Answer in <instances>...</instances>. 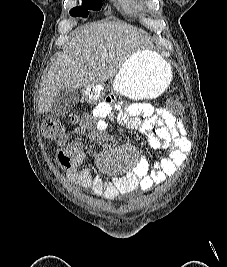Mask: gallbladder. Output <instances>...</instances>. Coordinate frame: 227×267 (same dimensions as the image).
Instances as JSON below:
<instances>
[{
	"mask_svg": "<svg viewBox=\"0 0 227 267\" xmlns=\"http://www.w3.org/2000/svg\"><path fill=\"white\" fill-rule=\"evenodd\" d=\"M78 100L79 92L76 88L62 89L55 96L48 111L56 116H63L73 109Z\"/></svg>",
	"mask_w": 227,
	"mask_h": 267,
	"instance_id": "gallbladder-1",
	"label": "gallbladder"
}]
</instances>
